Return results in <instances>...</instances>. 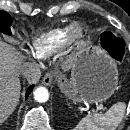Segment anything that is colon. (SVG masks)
<instances>
[{
	"label": "colon",
	"instance_id": "obj_1",
	"mask_svg": "<svg viewBox=\"0 0 130 130\" xmlns=\"http://www.w3.org/2000/svg\"><path fill=\"white\" fill-rule=\"evenodd\" d=\"M101 45L111 56L119 61L122 60L124 56V42L122 39L110 32H104L101 36Z\"/></svg>",
	"mask_w": 130,
	"mask_h": 130
}]
</instances>
